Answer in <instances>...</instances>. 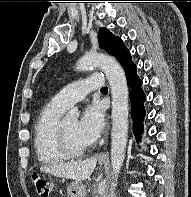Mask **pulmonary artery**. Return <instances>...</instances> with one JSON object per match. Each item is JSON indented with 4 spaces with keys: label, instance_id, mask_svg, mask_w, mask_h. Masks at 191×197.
<instances>
[{
    "label": "pulmonary artery",
    "instance_id": "obj_1",
    "mask_svg": "<svg viewBox=\"0 0 191 197\" xmlns=\"http://www.w3.org/2000/svg\"><path fill=\"white\" fill-rule=\"evenodd\" d=\"M103 84L104 75L94 74L86 79L78 80L67 85L60 90L51 101L66 110L76 102L82 100L90 92L101 88Z\"/></svg>",
    "mask_w": 191,
    "mask_h": 197
}]
</instances>
